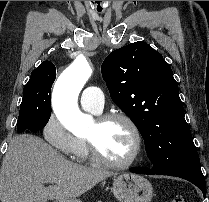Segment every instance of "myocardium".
I'll list each match as a JSON object with an SVG mask.
<instances>
[{
    "label": "myocardium",
    "instance_id": "f54148a6",
    "mask_svg": "<svg viewBox=\"0 0 209 202\" xmlns=\"http://www.w3.org/2000/svg\"><path fill=\"white\" fill-rule=\"evenodd\" d=\"M96 121L99 126H104L107 123H110L112 121H123L130 127L134 135L135 144H134L133 152L127 160L121 161V162H115V161L107 159L101 153V151L99 150L97 144L95 143L93 139L85 137V142L88 148V152L92 160L101 166L112 168V169H126L134 165L141 157L142 150H143L142 133L138 125L136 124V122L130 116L121 112H113V113L102 115L98 117Z\"/></svg>",
    "mask_w": 209,
    "mask_h": 202
}]
</instances>
